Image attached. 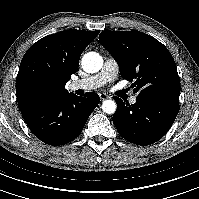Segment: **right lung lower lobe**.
<instances>
[{
    "instance_id": "obj_1",
    "label": "right lung lower lobe",
    "mask_w": 199,
    "mask_h": 199,
    "mask_svg": "<svg viewBox=\"0 0 199 199\" xmlns=\"http://www.w3.org/2000/svg\"><path fill=\"white\" fill-rule=\"evenodd\" d=\"M99 101L98 94L93 92L82 97L69 93L28 107L21 113L38 139L46 144L59 146L73 141L81 134Z\"/></svg>"
}]
</instances>
